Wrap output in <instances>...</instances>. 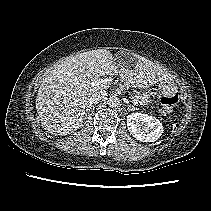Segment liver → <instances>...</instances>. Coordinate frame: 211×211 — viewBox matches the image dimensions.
Returning a JSON list of instances; mask_svg holds the SVG:
<instances>
[{
	"mask_svg": "<svg viewBox=\"0 0 211 211\" xmlns=\"http://www.w3.org/2000/svg\"><path fill=\"white\" fill-rule=\"evenodd\" d=\"M130 56V55H127ZM134 69L119 70L112 53L97 49L71 56L54 67L44 78L36 98V110L43 128L54 135H67L82 127L87 99L108 85H93L100 77L117 75L127 86L147 88L171 80L161 67L144 57ZM122 66L126 61L120 60Z\"/></svg>",
	"mask_w": 211,
	"mask_h": 211,
	"instance_id": "1",
	"label": "liver"
}]
</instances>
